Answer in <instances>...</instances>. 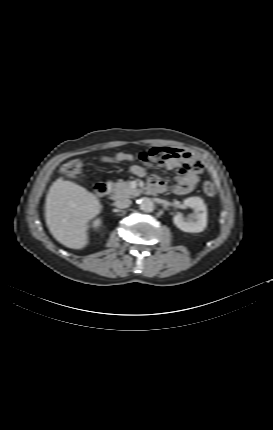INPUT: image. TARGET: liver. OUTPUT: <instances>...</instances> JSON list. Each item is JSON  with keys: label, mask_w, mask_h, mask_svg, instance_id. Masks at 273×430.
Listing matches in <instances>:
<instances>
[{"label": "liver", "mask_w": 273, "mask_h": 430, "mask_svg": "<svg viewBox=\"0 0 273 430\" xmlns=\"http://www.w3.org/2000/svg\"><path fill=\"white\" fill-rule=\"evenodd\" d=\"M102 210L98 198L84 187L60 177L49 189L46 224L53 237L72 249L88 244L89 222Z\"/></svg>", "instance_id": "obj_1"}]
</instances>
